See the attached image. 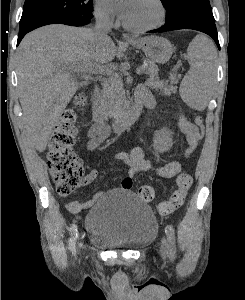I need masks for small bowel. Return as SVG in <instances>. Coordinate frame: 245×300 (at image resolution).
Returning <instances> with one entry per match:
<instances>
[{"label":"small bowel","instance_id":"c3829d8e","mask_svg":"<svg viewBox=\"0 0 245 300\" xmlns=\"http://www.w3.org/2000/svg\"><path fill=\"white\" fill-rule=\"evenodd\" d=\"M138 91L145 92L150 97L151 106L154 105L153 97L145 87H140ZM178 126L180 131L185 135L188 144L184 155L185 157H189L198 146L201 139V132L197 125L188 121L183 114L178 115ZM109 136L110 128L108 126L94 122L88 131L87 148L89 150L96 149ZM114 158L129 165V170L121 182V187L126 190L132 188L133 178L138 172H150L161 178H173L177 176L182 169L181 162L177 160L170 161L162 166H155L152 161L146 157L145 150L142 146H135L129 154L117 153L114 155ZM97 175V170L94 169L90 171L84 177L82 185H88L96 179ZM97 198L98 195L83 203L72 200L66 204V207L68 211L76 214L90 207Z\"/></svg>","mask_w":245,"mask_h":300}]
</instances>
